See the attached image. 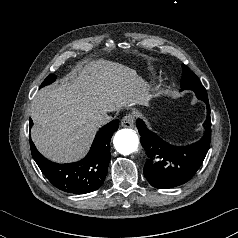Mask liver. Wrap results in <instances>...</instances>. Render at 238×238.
I'll return each instance as SVG.
<instances>
[{"mask_svg":"<svg viewBox=\"0 0 238 238\" xmlns=\"http://www.w3.org/2000/svg\"><path fill=\"white\" fill-rule=\"evenodd\" d=\"M144 92L134 69L107 60L93 61L72 71L59 85L37 92L30 108L32 140L52 161L79 160L100 126L96 118L139 104Z\"/></svg>","mask_w":238,"mask_h":238,"instance_id":"obj_1","label":"liver"}]
</instances>
